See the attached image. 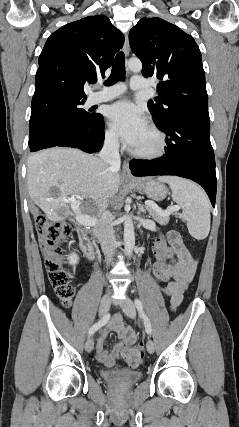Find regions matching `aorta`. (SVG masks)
<instances>
[{
	"instance_id": "762f6f07",
	"label": "aorta",
	"mask_w": 239,
	"mask_h": 427,
	"mask_svg": "<svg viewBox=\"0 0 239 427\" xmlns=\"http://www.w3.org/2000/svg\"><path fill=\"white\" fill-rule=\"evenodd\" d=\"M128 68L133 72H140L142 69V63L137 58H131L128 63ZM135 246V233L134 225L131 216L124 215V248L125 253L128 257H131Z\"/></svg>"
}]
</instances>
